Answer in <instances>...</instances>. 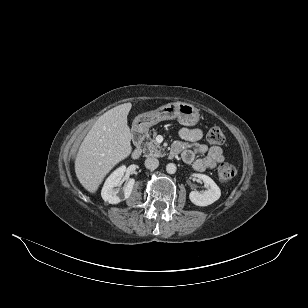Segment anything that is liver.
I'll return each instance as SVG.
<instances>
[{
    "mask_svg": "<svg viewBox=\"0 0 308 308\" xmlns=\"http://www.w3.org/2000/svg\"><path fill=\"white\" fill-rule=\"evenodd\" d=\"M131 107V103H124L105 112L79 147L75 173L90 193H95L109 171L132 151V134L127 124Z\"/></svg>",
    "mask_w": 308,
    "mask_h": 308,
    "instance_id": "obj_1",
    "label": "liver"
}]
</instances>
